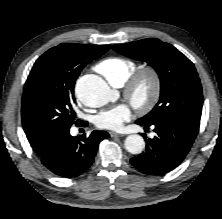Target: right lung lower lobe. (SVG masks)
<instances>
[{
	"label": "right lung lower lobe",
	"instance_id": "right-lung-lower-lobe-1",
	"mask_svg": "<svg viewBox=\"0 0 222 219\" xmlns=\"http://www.w3.org/2000/svg\"><path fill=\"white\" fill-rule=\"evenodd\" d=\"M108 137L107 132L97 130L89 137H73L67 129L56 134L38 155L42 164L57 176L77 177L90 167L98 144Z\"/></svg>",
	"mask_w": 222,
	"mask_h": 219
}]
</instances>
